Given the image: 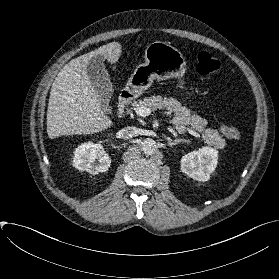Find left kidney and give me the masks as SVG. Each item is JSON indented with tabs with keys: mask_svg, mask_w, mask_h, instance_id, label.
Listing matches in <instances>:
<instances>
[{
	"mask_svg": "<svg viewBox=\"0 0 279 279\" xmlns=\"http://www.w3.org/2000/svg\"><path fill=\"white\" fill-rule=\"evenodd\" d=\"M218 151L211 147H203L181 158V171L196 181H208L215 170Z\"/></svg>",
	"mask_w": 279,
	"mask_h": 279,
	"instance_id": "left-kidney-1",
	"label": "left kidney"
}]
</instances>
